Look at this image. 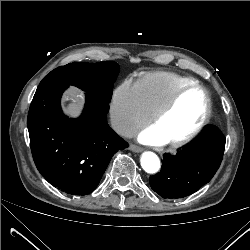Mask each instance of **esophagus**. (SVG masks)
I'll use <instances>...</instances> for the list:
<instances>
[{"label": "esophagus", "mask_w": 250, "mask_h": 250, "mask_svg": "<svg viewBox=\"0 0 250 250\" xmlns=\"http://www.w3.org/2000/svg\"><path fill=\"white\" fill-rule=\"evenodd\" d=\"M129 150L133 151V152H136V153H139L142 151V148L137 146V145H134V144H131L129 146Z\"/></svg>", "instance_id": "1"}]
</instances>
